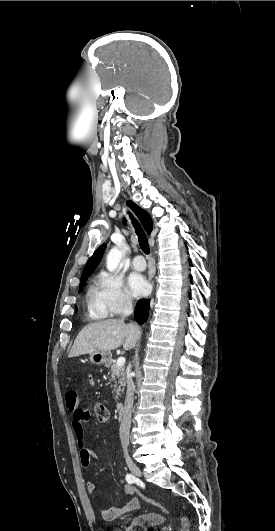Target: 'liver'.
<instances>
[{"label":"liver","instance_id":"obj_1","mask_svg":"<svg viewBox=\"0 0 275 531\" xmlns=\"http://www.w3.org/2000/svg\"><path fill=\"white\" fill-rule=\"evenodd\" d=\"M140 337L138 325H125L123 319H108L86 325L77 335L69 357L90 355L93 351H114L123 345L124 351L136 347Z\"/></svg>","mask_w":275,"mask_h":531}]
</instances>
